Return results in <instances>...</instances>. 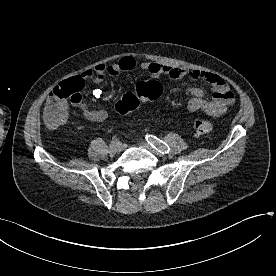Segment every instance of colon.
<instances>
[{"label":"colon","instance_id":"obj_1","mask_svg":"<svg viewBox=\"0 0 276 276\" xmlns=\"http://www.w3.org/2000/svg\"><path fill=\"white\" fill-rule=\"evenodd\" d=\"M83 85L84 83L81 79L72 78L61 82L53 88L49 96L50 106L48 109L45 106V122L49 127L55 128L65 123L67 101H78ZM161 94L162 87L159 82H140L134 92H128L121 97L115 105V110L120 115L129 114L140 103L156 101ZM193 128L197 134L204 135L211 133L214 125L210 120L198 116L193 121Z\"/></svg>","mask_w":276,"mask_h":276}]
</instances>
